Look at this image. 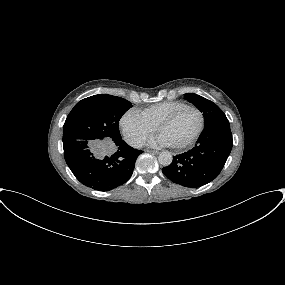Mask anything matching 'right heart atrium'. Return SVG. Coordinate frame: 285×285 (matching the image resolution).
<instances>
[{
	"instance_id": "obj_1",
	"label": "right heart atrium",
	"mask_w": 285,
	"mask_h": 285,
	"mask_svg": "<svg viewBox=\"0 0 285 285\" xmlns=\"http://www.w3.org/2000/svg\"><path fill=\"white\" fill-rule=\"evenodd\" d=\"M122 132L132 146H141L155 131V127L145 121L136 110H128L120 120Z\"/></svg>"
}]
</instances>
